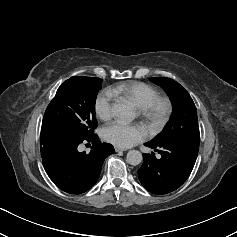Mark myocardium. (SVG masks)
<instances>
[{
	"label": "myocardium",
	"mask_w": 237,
	"mask_h": 237,
	"mask_svg": "<svg viewBox=\"0 0 237 237\" xmlns=\"http://www.w3.org/2000/svg\"><path fill=\"white\" fill-rule=\"evenodd\" d=\"M172 111V103L165 97H156L144 107L140 108V113L143 118L154 128L164 125L169 120Z\"/></svg>",
	"instance_id": "myocardium-1"
}]
</instances>
